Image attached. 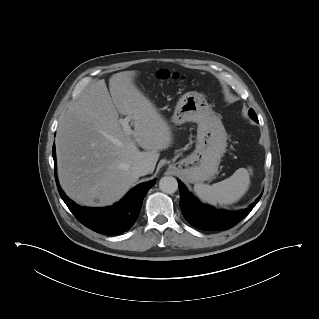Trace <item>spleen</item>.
I'll use <instances>...</instances> for the list:
<instances>
[{"mask_svg":"<svg viewBox=\"0 0 319 319\" xmlns=\"http://www.w3.org/2000/svg\"><path fill=\"white\" fill-rule=\"evenodd\" d=\"M250 171L246 168H239L229 178L213 185L196 183L194 190L201 200L211 205L232 204L238 201L248 190Z\"/></svg>","mask_w":319,"mask_h":319,"instance_id":"spleen-1","label":"spleen"}]
</instances>
